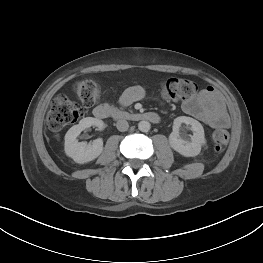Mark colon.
<instances>
[{
	"label": "colon",
	"mask_w": 263,
	"mask_h": 263,
	"mask_svg": "<svg viewBox=\"0 0 263 263\" xmlns=\"http://www.w3.org/2000/svg\"><path fill=\"white\" fill-rule=\"evenodd\" d=\"M74 90L83 105L66 96L55 97L47 115V124L51 130L57 132L75 123L85 113V108L95 104L101 95L99 85L92 79L78 82ZM161 93L169 101H187L196 95L197 85L185 78H169L162 83ZM211 140L219 151L227 145L229 134L226 130L218 129L212 133Z\"/></svg>",
	"instance_id": "obj_1"
}]
</instances>
